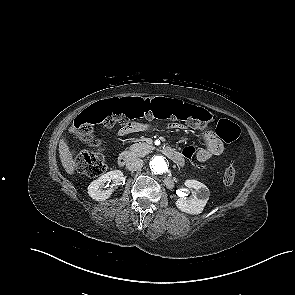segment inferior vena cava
I'll list each match as a JSON object with an SVG mask.
<instances>
[{
    "instance_id": "obj_1",
    "label": "inferior vena cava",
    "mask_w": 295,
    "mask_h": 295,
    "mask_svg": "<svg viewBox=\"0 0 295 295\" xmlns=\"http://www.w3.org/2000/svg\"><path fill=\"white\" fill-rule=\"evenodd\" d=\"M142 166H143V160L136 157L130 158L126 163V168L129 171H136L138 169H141Z\"/></svg>"
}]
</instances>
